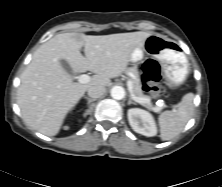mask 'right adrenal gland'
I'll list each match as a JSON object with an SVG mask.
<instances>
[{"mask_svg": "<svg viewBox=\"0 0 222 187\" xmlns=\"http://www.w3.org/2000/svg\"><path fill=\"white\" fill-rule=\"evenodd\" d=\"M84 99H86L87 100V102H88V104H90V103H92V102H94L96 99H91V98H88V97H84ZM86 114H89V110H87L86 111Z\"/></svg>", "mask_w": 222, "mask_h": 187, "instance_id": "1", "label": "right adrenal gland"}]
</instances>
